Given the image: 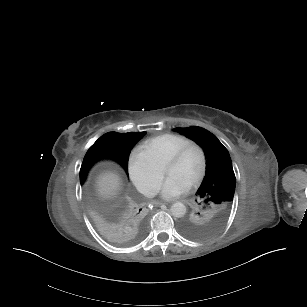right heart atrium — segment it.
<instances>
[{
    "instance_id": "obj_1",
    "label": "right heart atrium",
    "mask_w": 307,
    "mask_h": 307,
    "mask_svg": "<svg viewBox=\"0 0 307 307\" xmlns=\"http://www.w3.org/2000/svg\"><path fill=\"white\" fill-rule=\"evenodd\" d=\"M129 177L134 186L143 193L151 192L161 177L160 163L147 143L134 144L127 158Z\"/></svg>"
}]
</instances>
